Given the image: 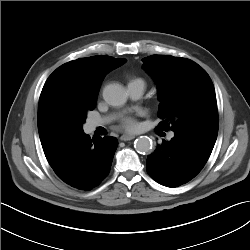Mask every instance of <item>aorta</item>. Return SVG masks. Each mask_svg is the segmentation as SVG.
Segmentation results:
<instances>
[{
    "label": "aorta",
    "mask_w": 250,
    "mask_h": 250,
    "mask_svg": "<svg viewBox=\"0 0 250 250\" xmlns=\"http://www.w3.org/2000/svg\"><path fill=\"white\" fill-rule=\"evenodd\" d=\"M104 100L112 106H122L127 100L125 89L119 84H109L103 89ZM135 150L140 154L149 153L152 148V140L146 136H140L134 142Z\"/></svg>",
    "instance_id": "obj_1"
}]
</instances>
